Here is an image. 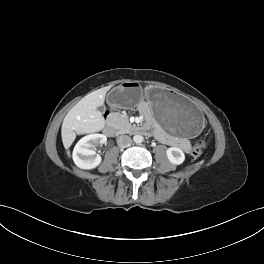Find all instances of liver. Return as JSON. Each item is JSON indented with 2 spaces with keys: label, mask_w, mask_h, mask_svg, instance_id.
<instances>
[{
  "label": "liver",
  "mask_w": 264,
  "mask_h": 264,
  "mask_svg": "<svg viewBox=\"0 0 264 264\" xmlns=\"http://www.w3.org/2000/svg\"><path fill=\"white\" fill-rule=\"evenodd\" d=\"M108 88L96 90L82 98L65 116L61 135L64 148L68 150L76 134H88L101 131L105 120L98 107L102 106ZM69 155V151H67Z\"/></svg>",
  "instance_id": "1"
}]
</instances>
